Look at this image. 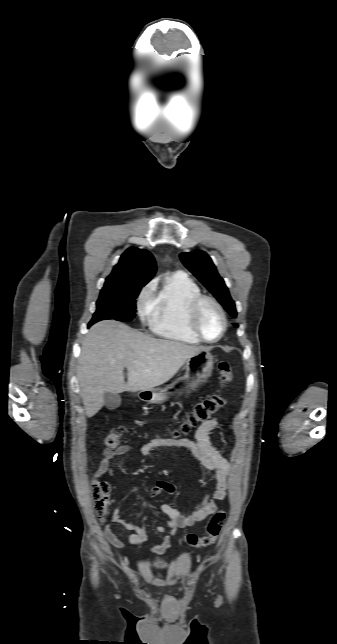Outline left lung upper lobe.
Here are the masks:
<instances>
[{
  "instance_id": "1",
  "label": "left lung upper lobe",
  "mask_w": 337,
  "mask_h": 644,
  "mask_svg": "<svg viewBox=\"0 0 337 644\" xmlns=\"http://www.w3.org/2000/svg\"><path fill=\"white\" fill-rule=\"evenodd\" d=\"M180 259L183 264L194 274L195 277L214 295L224 306L227 312L236 318L237 312L235 303L230 297L224 280L219 276L211 258L203 251L196 250L189 253H181ZM234 326L238 327L237 324Z\"/></svg>"
}]
</instances>
